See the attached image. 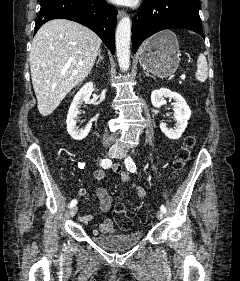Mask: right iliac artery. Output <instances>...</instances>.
I'll return each mask as SVG.
<instances>
[{
	"instance_id": "1",
	"label": "right iliac artery",
	"mask_w": 240,
	"mask_h": 281,
	"mask_svg": "<svg viewBox=\"0 0 240 281\" xmlns=\"http://www.w3.org/2000/svg\"><path fill=\"white\" fill-rule=\"evenodd\" d=\"M101 166L104 169H108L112 166V161L110 159H103L101 162ZM76 204H77V200L76 199L72 200L69 204V208L74 207Z\"/></svg>"
}]
</instances>
